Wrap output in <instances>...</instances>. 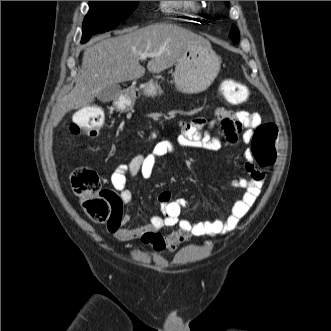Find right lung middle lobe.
<instances>
[{"label": "right lung middle lobe", "mask_w": 331, "mask_h": 331, "mask_svg": "<svg viewBox=\"0 0 331 331\" xmlns=\"http://www.w3.org/2000/svg\"><path fill=\"white\" fill-rule=\"evenodd\" d=\"M139 1H90V9L83 22L82 43L91 35L115 28L135 10Z\"/></svg>", "instance_id": "dd1d6c3e"}]
</instances>
